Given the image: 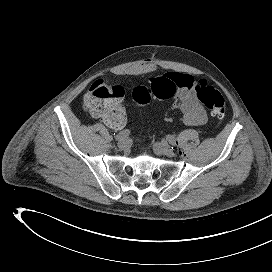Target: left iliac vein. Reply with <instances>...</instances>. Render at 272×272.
Returning <instances> with one entry per match:
<instances>
[{
  "label": "left iliac vein",
  "instance_id": "left-iliac-vein-1",
  "mask_svg": "<svg viewBox=\"0 0 272 272\" xmlns=\"http://www.w3.org/2000/svg\"><path fill=\"white\" fill-rule=\"evenodd\" d=\"M153 146L154 150L159 155H165L167 157H173L175 155L174 151L167 142H156Z\"/></svg>",
  "mask_w": 272,
  "mask_h": 272
}]
</instances>
